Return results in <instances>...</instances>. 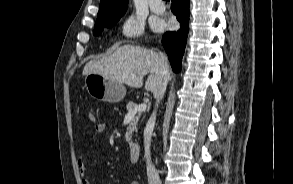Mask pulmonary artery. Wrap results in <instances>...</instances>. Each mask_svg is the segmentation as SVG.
<instances>
[{"mask_svg": "<svg viewBox=\"0 0 293 184\" xmlns=\"http://www.w3.org/2000/svg\"><path fill=\"white\" fill-rule=\"evenodd\" d=\"M150 9L155 14H163L166 8L161 0H150Z\"/></svg>", "mask_w": 293, "mask_h": 184, "instance_id": "obj_1", "label": "pulmonary artery"}]
</instances>
